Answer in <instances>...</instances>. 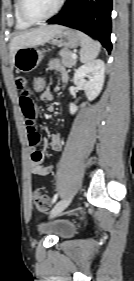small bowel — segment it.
Returning <instances> with one entry per match:
<instances>
[{
  "label": "small bowel",
  "instance_id": "obj_1",
  "mask_svg": "<svg viewBox=\"0 0 134 281\" xmlns=\"http://www.w3.org/2000/svg\"><path fill=\"white\" fill-rule=\"evenodd\" d=\"M50 68L59 74L60 80L63 84H67L69 77L67 72L60 66L59 61L53 59L50 61ZM15 85L19 91V103L24 117L26 128L28 131V139L30 146V171L33 175L38 177H47L50 175L55 167L54 164L41 166L44 155L38 150L40 144V135L36 127V106L32 98V90L30 80L26 75H18L15 78ZM41 99L51 101L53 96L47 88L44 93L40 94ZM50 147L55 152H60L63 148V142L60 135L53 134L50 137Z\"/></svg>",
  "mask_w": 134,
  "mask_h": 281
}]
</instances>
